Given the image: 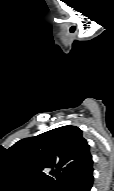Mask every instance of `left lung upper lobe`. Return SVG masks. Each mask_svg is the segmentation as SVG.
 Segmentation results:
<instances>
[{
  "instance_id": "obj_1",
  "label": "left lung upper lobe",
  "mask_w": 114,
  "mask_h": 191,
  "mask_svg": "<svg viewBox=\"0 0 114 191\" xmlns=\"http://www.w3.org/2000/svg\"><path fill=\"white\" fill-rule=\"evenodd\" d=\"M9 152L16 163L60 190L91 158L89 145L76 126H63L25 138Z\"/></svg>"
}]
</instances>
